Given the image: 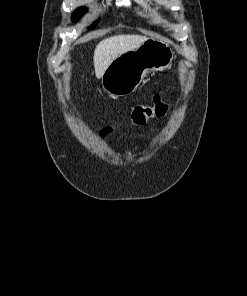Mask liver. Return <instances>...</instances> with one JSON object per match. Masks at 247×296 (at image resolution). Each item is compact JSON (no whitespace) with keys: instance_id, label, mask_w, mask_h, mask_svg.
<instances>
[{"instance_id":"liver-1","label":"liver","mask_w":247,"mask_h":296,"mask_svg":"<svg viewBox=\"0 0 247 296\" xmlns=\"http://www.w3.org/2000/svg\"><path fill=\"white\" fill-rule=\"evenodd\" d=\"M147 37L141 35H116L100 41L94 51V69L97 78H102L105 70L120 55L138 48Z\"/></svg>"}]
</instances>
